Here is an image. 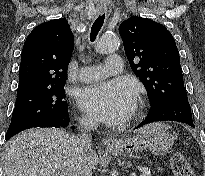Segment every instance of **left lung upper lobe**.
I'll list each match as a JSON object with an SVG mask.
<instances>
[{"mask_svg":"<svg viewBox=\"0 0 205 176\" xmlns=\"http://www.w3.org/2000/svg\"><path fill=\"white\" fill-rule=\"evenodd\" d=\"M119 34L130 66L144 84L151 106L186 93L179 52L166 27L132 16L120 25Z\"/></svg>","mask_w":205,"mask_h":176,"instance_id":"obj_1","label":"left lung upper lobe"}]
</instances>
